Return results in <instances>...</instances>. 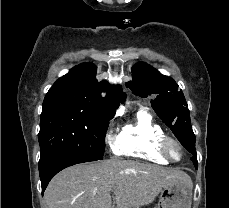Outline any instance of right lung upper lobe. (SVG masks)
Returning <instances> with one entry per match:
<instances>
[{"label":"right lung upper lobe","instance_id":"obj_1","mask_svg":"<svg viewBox=\"0 0 229 208\" xmlns=\"http://www.w3.org/2000/svg\"><path fill=\"white\" fill-rule=\"evenodd\" d=\"M96 66L82 63L59 78L47 92L43 105L68 104L76 106L90 115L110 120L119 103L125 100L120 86H110L95 79ZM103 91L105 97H100Z\"/></svg>","mask_w":229,"mask_h":208}]
</instances>
